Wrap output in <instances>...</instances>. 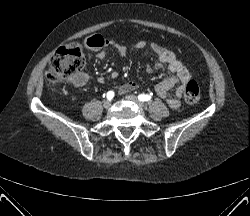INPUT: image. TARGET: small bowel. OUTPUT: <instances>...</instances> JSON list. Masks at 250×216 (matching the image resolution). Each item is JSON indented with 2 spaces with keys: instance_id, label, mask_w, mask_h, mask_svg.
<instances>
[{
  "instance_id": "obj_1",
  "label": "small bowel",
  "mask_w": 250,
  "mask_h": 216,
  "mask_svg": "<svg viewBox=\"0 0 250 216\" xmlns=\"http://www.w3.org/2000/svg\"><path fill=\"white\" fill-rule=\"evenodd\" d=\"M85 46L93 51H98V58L104 59L106 56L105 49L108 47H114L117 52L124 56L127 53V49L123 45H114L111 41L103 38L101 35H92L88 37L85 41ZM147 46V43L140 41L136 44L138 49H142ZM151 50L155 55V61L148 65L147 70L149 72L159 70L163 65H167L169 70V77L164 81L156 85L155 91L158 96L165 99L168 105L172 109H177L180 106V98L185 92L187 83L191 80V73L182 64L177 55L165 49L159 44L152 43L150 45ZM89 79V76L85 72H78L70 78V83L74 86L81 87L84 86ZM108 79V75H101L98 80L104 82ZM137 88L134 82H127L119 88L120 93H125ZM174 90V97H170L169 93Z\"/></svg>"
}]
</instances>
